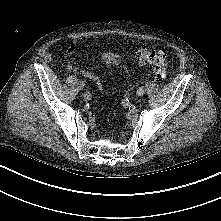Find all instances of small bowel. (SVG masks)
I'll use <instances>...</instances> for the list:
<instances>
[{
  "mask_svg": "<svg viewBox=\"0 0 221 221\" xmlns=\"http://www.w3.org/2000/svg\"><path fill=\"white\" fill-rule=\"evenodd\" d=\"M74 49H75V46H74V45H71V46L67 49V52H68V53H72V52L74 51ZM74 68H75V67H74L73 65H71V64L67 65V69L70 70V71L74 70Z\"/></svg>",
  "mask_w": 221,
  "mask_h": 221,
  "instance_id": "c3829d8e",
  "label": "small bowel"
}]
</instances>
